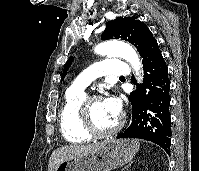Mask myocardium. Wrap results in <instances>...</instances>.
<instances>
[{
	"label": "myocardium",
	"mask_w": 199,
	"mask_h": 171,
	"mask_svg": "<svg viewBox=\"0 0 199 171\" xmlns=\"http://www.w3.org/2000/svg\"><path fill=\"white\" fill-rule=\"evenodd\" d=\"M101 99L100 95L93 94L89 96H85L84 100L81 104V113L83 117V123L86 131L95 137H104V136H110L115 133H117L123 126L124 120L123 118H119L117 122L110 128L107 129H101L99 128L92 116L90 104L94 100Z\"/></svg>",
	"instance_id": "obj_1"
}]
</instances>
